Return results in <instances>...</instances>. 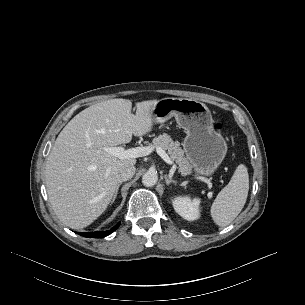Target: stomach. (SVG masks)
Listing matches in <instances>:
<instances>
[{
  "label": "stomach",
  "instance_id": "1",
  "mask_svg": "<svg viewBox=\"0 0 305 305\" xmlns=\"http://www.w3.org/2000/svg\"><path fill=\"white\" fill-rule=\"evenodd\" d=\"M151 116L155 124L174 117L186 131L182 145L197 180L217 170L226 156L227 144L215 131L211 112L204 103L188 98H163L155 104Z\"/></svg>",
  "mask_w": 305,
  "mask_h": 305
}]
</instances>
